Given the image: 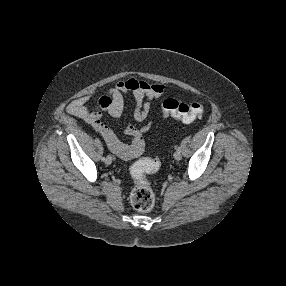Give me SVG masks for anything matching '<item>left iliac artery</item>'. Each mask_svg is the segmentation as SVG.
Listing matches in <instances>:
<instances>
[{
	"label": "left iliac artery",
	"instance_id": "obj_1",
	"mask_svg": "<svg viewBox=\"0 0 286 286\" xmlns=\"http://www.w3.org/2000/svg\"><path fill=\"white\" fill-rule=\"evenodd\" d=\"M176 150L179 151V152H181L180 146H177V147H176Z\"/></svg>",
	"mask_w": 286,
	"mask_h": 286
}]
</instances>
